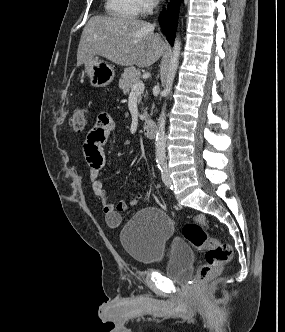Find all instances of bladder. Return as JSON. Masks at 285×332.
<instances>
[{
  "mask_svg": "<svg viewBox=\"0 0 285 332\" xmlns=\"http://www.w3.org/2000/svg\"><path fill=\"white\" fill-rule=\"evenodd\" d=\"M173 223L166 212L156 207L139 210L123 227L120 240L124 250L141 263L165 260L169 278L184 280L194 262L193 250L173 237Z\"/></svg>",
  "mask_w": 285,
  "mask_h": 332,
  "instance_id": "1",
  "label": "bladder"
}]
</instances>
